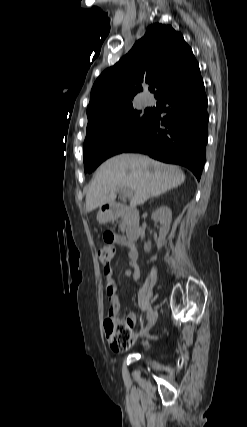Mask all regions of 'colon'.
<instances>
[{
	"label": "colon",
	"instance_id": "obj_1",
	"mask_svg": "<svg viewBox=\"0 0 247 427\" xmlns=\"http://www.w3.org/2000/svg\"><path fill=\"white\" fill-rule=\"evenodd\" d=\"M97 255L102 264L108 265L115 255V248L112 244L104 245L98 250ZM105 331L111 347L116 351L126 350L133 343L132 327L126 322L108 316L105 320Z\"/></svg>",
	"mask_w": 247,
	"mask_h": 427
}]
</instances>
